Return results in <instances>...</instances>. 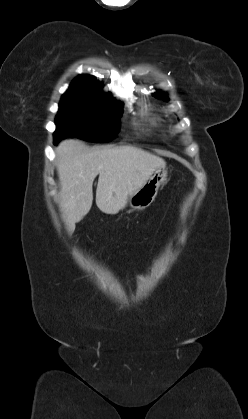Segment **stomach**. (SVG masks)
<instances>
[{"label": "stomach", "instance_id": "stomach-1", "mask_svg": "<svg viewBox=\"0 0 248 419\" xmlns=\"http://www.w3.org/2000/svg\"><path fill=\"white\" fill-rule=\"evenodd\" d=\"M165 167L155 170L136 192L129 196V205L136 210L147 208L155 199L160 185L166 180Z\"/></svg>", "mask_w": 248, "mask_h": 419}]
</instances>
